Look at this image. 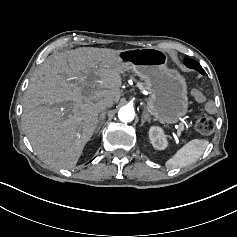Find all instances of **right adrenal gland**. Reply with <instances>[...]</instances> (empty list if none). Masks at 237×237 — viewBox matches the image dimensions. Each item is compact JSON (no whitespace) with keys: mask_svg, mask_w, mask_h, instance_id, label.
I'll use <instances>...</instances> for the list:
<instances>
[{"mask_svg":"<svg viewBox=\"0 0 237 237\" xmlns=\"http://www.w3.org/2000/svg\"><path fill=\"white\" fill-rule=\"evenodd\" d=\"M105 114H106V112L104 110H102V112L99 116V126L97 127L96 132H98L100 130L102 124L104 123Z\"/></svg>","mask_w":237,"mask_h":237,"instance_id":"1","label":"right adrenal gland"}]
</instances>
